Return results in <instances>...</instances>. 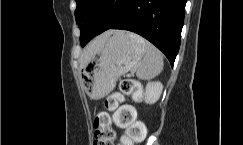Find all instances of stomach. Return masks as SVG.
<instances>
[{"label": "stomach", "mask_w": 243, "mask_h": 145, "mask_svg": "<svg viewBox=\"0 0 243 145\" xmlns=\"http://www.w3.org/2000/svg\"><path fill=\"white\" fill-rule=\"evenodd\" d=\"M141 37L113 30L83 67L82 76L88 95L100 99L115 87L117 79L132 70L145 53Z\"/></svg>", "instance_id": "obj_1"}]
</instances>
